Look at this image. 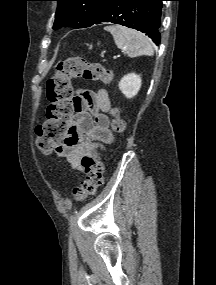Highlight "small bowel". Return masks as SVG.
Returning <instances> with one entry per match:
<instances>
[{
	"instance_id": "small-bowel-1",
	"label": "small bowel",
	"mask_w": 216,
	"mask_h": 285,
	"mask_svg": "<svg viewBox=\"0 0 216 285\" xmlns=\"http://www.w3.org/2000/svg\"><path fill=\"white\" fill-rule=\"evenodd\" d=\"M76 104L69 131L56 150L72 168L85 173L82 158L93 155L96 149L112 139L107 115L111 101L105 89L84 90L76 96Z\"/></svg>"
}]
</instances>
